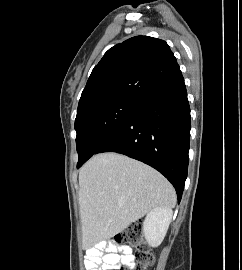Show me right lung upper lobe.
Returning a JSON list of instances; mask_svg holds the SVG:
<instances>
[{
  "label": "right lung upper lobe",
  "mask_w": 242,
  "mask_h": 270,
  "mask_svg": "<svg viewBox=\"0 0 242 270\" xmlns=\"http://www.w3.org/2000/svg\"><path fill=\"white\" fill-rule=\"evenodd\" d=\"M181 73L168 44L136 36L110 48L94 67L77 115L117 100L138 101Z\"/></svg>",
  "instance_id": "1"
}]
</instances>
